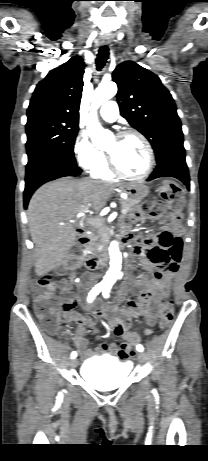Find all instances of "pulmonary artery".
Segmentation results:
<instances>
[{"instance_id": "pulmonary-artery-1", "label": "pulmonary artery", "mask_w": 208, "mask_h": 461, "mask_svg": "<svg viewBox=\"0 0 208 461\" xmlns=\"http://www.w3.org/2000/svg\"><path fill=\"white\" fill-rule=\"evenodd\" d=\"M99 113L104 120L114 122L119 115L118 105L115 101H107L102 105Z\"/></svg>"}]
</instances>
